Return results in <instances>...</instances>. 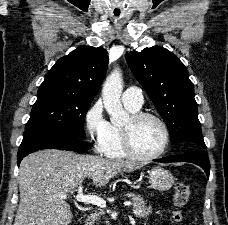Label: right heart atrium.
<instances>
[{
    "instance_id": "1",
    "label": "right heart atrium",
    "mask_w": 228,
    "mask_h": 225,
    "mask_svg": "<svg viewBox=\"0 0 228 225\" xmlns=\"http://www.w3.org/2000/svg\"><path fill=\"white\" fill-rule=\"evenodd\" d=\"M83 124L87 136L98 149L107 138L111 127L101 100H97L87 108L83 115Z\"/></svg>"
}]
</instances>
